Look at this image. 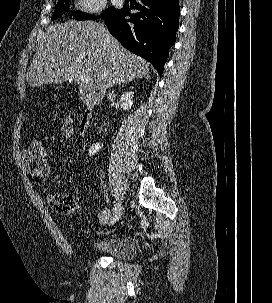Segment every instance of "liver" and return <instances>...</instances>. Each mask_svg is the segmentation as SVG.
Listing matches in <instances>:
<instances>
[{
  "instance_id": "liver-1",
  "label": "liver",
  "mask_w": 272,
  "mask_h": 303,
  "mask_svg": "<svg viewBox=\"0 0 272 303\" xmlns=\"http://www.w3.org/2000/svg\"><path fill=\"white\" fill-rule=\"evenodd\" d=\"M149 73V63L125 49L95 21H68L50 25L27 72L31 87L79 80L80 97L93 107L108 88Z\"/></svg>"
}]
</instances>
